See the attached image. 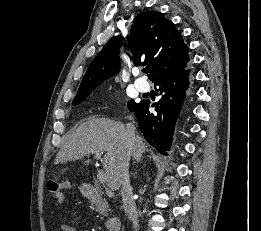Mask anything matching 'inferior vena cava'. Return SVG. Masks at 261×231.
I'll list each match as a JSON object with an SVG mask.
<instances>
[{
  "instance_id": "inferior-vena-cava-1",
  "label": "inferior vena cava",
  "mask_w": 261,
  "mask_h": 231,
  "mask_svg": "<svg viewBox=\"0 0 261 231\" xmlns=\"http://www.w3.org/2000/svg\"><path fill=\"white\" fill-rule=\"evenodd\" d=\"M126 136L130 147L132 148L133 141L135 139V127L132 124L126 125ZM133 156L137 159L140 158V153L136 150L133 151ZM122 201L125 214L132 221L135 231H138V215L136 211V205L133 200V191L129 178V162L122 175V187H121Z\"/></svg>"
}]
</instances>
